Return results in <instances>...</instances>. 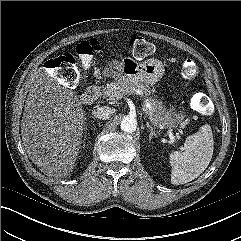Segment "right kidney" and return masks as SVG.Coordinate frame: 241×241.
Listing matches in <instances>:
<instances>
[{
	"instance_id": "1",
	"label": "right kidney",
	"mask_w": 241,
	"mask_h": 241,
	"mask_svg": "<svg viewBox=\"0 0 241 241\" xmlns=\"http://www.w3.org/2000/svg\"><path fill=\"white\" fill-rule=\"evenodd\" d=\"M85 140V139H84ZM85 147V143L83 144V148Z\"/></svg>"
}]
</instances>
